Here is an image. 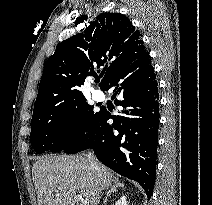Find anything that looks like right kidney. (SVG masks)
<instances>
[{"mask_svg": "<svg viewBox=\"0 0 212 205\" xmlns=\"http://www.w3.org/2000/svg\"><path fill=\"white\" fill-rule=\"evenodd\" d=\"M115 205H128L126 196H122L116 203Z\"/></svg>", "mask_w": 212, "mask_h": 205, "instance_id": "ca27d5eb", "label": "right kidney"}]
</instances>
